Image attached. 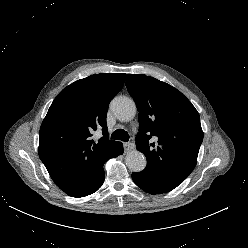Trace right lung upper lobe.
<instances>
[{
    "instance_id": "right-lung-upper-lobe-1",
    "label": "right lung upper lobe",
    "mask_w": 248,
    "mask_h": 248,
    "mask_svg": "<svg viewBox=\"0 0 248 248\" xmlns=\"http://www.w3.org/2000/svg\"><path fill=\"white\" fill-rule=\"evenodd\" d=\"M125 78L122 73H101L70 84L55 98L42 122L39 157L68 195L95 180L118 143L108 139L106 116ZM96 129L103 132L98 142L91 139Z\"/></svg>"
}]
</instances>
